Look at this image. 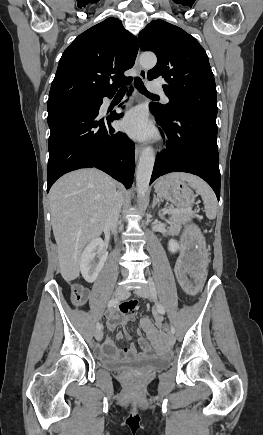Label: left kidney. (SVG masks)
Returning a JSON list of instances; mask_svg holds the SVG:
<instances>
[{"label":"left kidney","mask_w":263,"mask_h":435,"mask_svg":"<svg viewBox=\"0 0 263 435\" xmlns=\"http://www.w3.org/2000/svg\"><path fill=\"white\" fill-rule=\"evenodd\" d=\"M179 248H180V246H179V244H178V242H177L176 240L171 239V240L168 242V249H169L172 253L177 252V251L179 250Z\"/></svg>","instance_id":"left-kidney-1"}]
</instances>
